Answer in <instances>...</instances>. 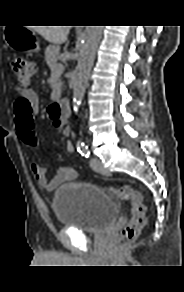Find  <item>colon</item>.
Returning <instances> with one entry per match:
<instances>
[{
	"mask_svg": "<svg viewBox=\"0 0 184 292\" xmlns=\"http://www.w3.org/2000/svg\"><path fill=\"white\" fill-rule=\"evenodd\" d=\"M35 61L22 57L11 60L10 69L16 78L20 89V95L15 101V120L19 128L22 142L29 148L37 147V139L34 131L35 117L39 112L40 101L37 94L27 89L35 72ZM110 191L119 199L131 202V219L121 230L120 240L123 244L133 243L145 227L146 207L143 203L142 194L130 185L112 188Z\"/></svg>",
	"mask_w": 184,
	"mask_h": 292,
	"instance_id": "obj_1",
	"label": "colon"
}]
</instances>
